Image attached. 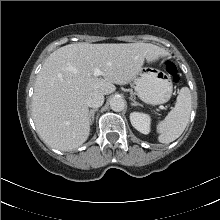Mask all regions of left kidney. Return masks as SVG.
Returning <instances> with one entry per match:
<instances>
[{"label": "left kidney", "mask_w": 220, "mask_h": 220, "mask_svg": "<svg viewBox=\"0 0 220 220\" xmlns=\"http://www.w3.org/2000/svg\"><path fill=\"white\" fill-rule=\"evenodd\" d=\"M130 122L132 126L143 134H149L151 117L148 114L140 112H132L130 114Z\"/></svg>", "instance_id": "obj_1"}]
</instances>
